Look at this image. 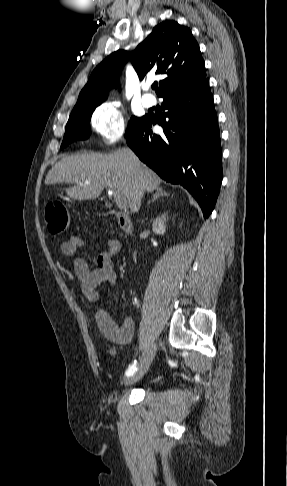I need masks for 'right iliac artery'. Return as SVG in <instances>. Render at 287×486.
Masks as SVG:
<instances>
[{"label": "right iliac artery", "instance_id": "right-iliac-artery-1", "mask_svg": "<svg viewBox=\"0 0 287 486\" xmlns=\"http://www.w3.org/2000/svg\"><path fill=\"white\" fill-rule=\"evenodd\" d=\"M136 301V299H135ZM135 371H137V362L134 361V363L132 365L129 366V368L127 369L126 371V376H131L135 373Z\"/></svg>", "mask_w": 287, "mask_h": 486}]
</instances>
